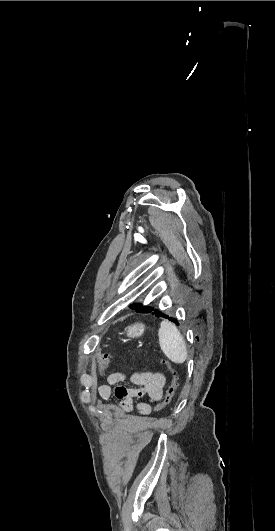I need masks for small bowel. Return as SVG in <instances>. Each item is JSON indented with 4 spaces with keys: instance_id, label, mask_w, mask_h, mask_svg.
Masks as SVG:
<instances>
[{
    "instance_id": "c3829d8e",
    "label": "small bowel",
    "mask_w": 275,
    "mask_h": 531,
    "mask_svg": "<svg viewBox=\"0 0 275 531\" xmlns=\"http://www.w3.org/2000/svg\"><path fill=\"white\" fill-rule=\"evenodd\" d=\"M125 380L124 373L112 372L107 378V384L99 386V397L103 400L110 399L113 396L114 388ZM130 381L136 387L127 388L126 398L122 399L117 407L106 405V410L128 413L135 408L140 416L149 415L152 411L151 403L157 402L163 397L166 383L164 374L160 372H137L132 375Z\"/></svg>"
}]
</instances>
